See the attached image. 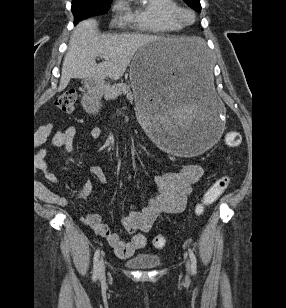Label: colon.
I'll list each match as a JSON object with an SVG mask.
<instances>
[{"mask_svg": "<svg viewBox=\"0 0 286 308\" xmlns=\"http://www.w3.org/2000/svg\"><path fill=\"white\" fill-rule=\"evenodd\" d=\"M77 100V93L75 89H67L60 93L54 101L56 108L62 112L70 113L74 110ZM224 142L228 147L236 148L242 142L241 134L237 131H229L224 136ZM231 183V176L224 174L218 177L205 191L201 200L195 206V213L201 215L204 213L205 207L214 203L229 187ZM152 244L155 248H163L166 240L163 236L157 235L153 238Z\"/></svg>", "mask_w": 286, "mask_h": 308, "instance_id": "1", "label": "colon"}]
</instances>
